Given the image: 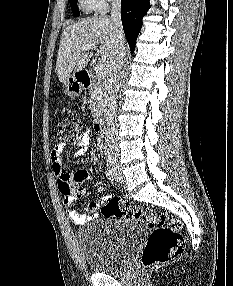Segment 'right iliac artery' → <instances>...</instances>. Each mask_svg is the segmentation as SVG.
<instances>
[{"instance_id":"right-iliac-artery-1","label":"right iliac artery","mask_w":233,"mask_h":286,"mask_svg":"<svg viewBox=\"0 0 233 286\" xmlns=\"http://www.w3.org/2000/svg\"><path fill=\"white\" fill-rule=\"evenodd\" d=\"M106 176L110 181H113L114 173L110 169L106 171Z\"/></svg>"}]
</instances>
